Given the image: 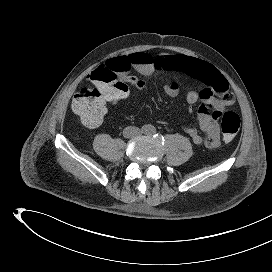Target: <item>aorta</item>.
Returning a JSON list of instances; mask_svg holds the SVG:
<instances>
[{
  "label": "aorta",
  "mask_w": 272,
  "mask_h": 272,
  "mask_svg": "<svg viewBox=\"0 0 272 272\" xmlns=\"http://www.w3.org/2000/svg\"><path fill=\"white\" fill-rule=\"evenodd\" d=\"M153 130H154V127H153L152 125H145V126H144V132H145L146 134L152 133Z\"/></svg>",
  "instance_id": "762f6f07"
}]
</instances>
